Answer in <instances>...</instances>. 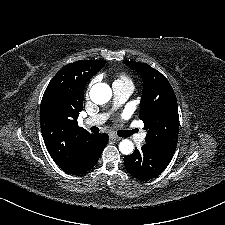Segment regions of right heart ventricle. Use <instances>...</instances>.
Masks as SVG:
<instances>
[{
	"mask_svg": "<svg viewBox=\"0 0 225 225\" xmlns=\"http://www.w3.org/2000/svg\"><path fill=\"white\" fill-rule=\"evenodd\" d=\"M114 84H123L134 86L132 79L124 72H119L115 76Z\"/></svg>",
	"mask_w": 225,
	"mask_h": 225,
	"instance_id": "e07e8e85",
	"label": "right heart ventricle"
}]
</instances>
